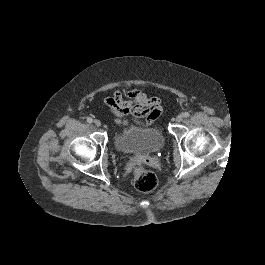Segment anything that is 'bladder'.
<instances>
[{
	"label": "bladder",
	"mask_w": 265,
	"mask_h": 265,
	"mask_svg": "<svg viewBox=\"0 0 265 265\" xmlns=\"http://www.w3.org/2000/svg\"><path fill=\"white\" fill-rule=\"evenodd\" d=\"M165 143L160 127L140 128L132 126L121 132H115V147L132 155H151L159 152Z\"/></svg>",
	"instance_id": "obj_1"
}]
</instances>
